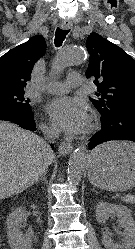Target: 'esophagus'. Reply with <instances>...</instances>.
I'll use <instances>...</instances> for the list:
<instances>
[{
    "instance_id": "34e87169",
    "label": "esophagus",
    "mask_w": 135,
    "mask_h": 249,
    "mask_svg": "<svg viewBox=\"0 0 135 249\" xmlns=\"http://www.w3.org/2000/svg\"><path fill=\"white\" fill-rule=\"evenodd\" d=\"M61 28L62 29H70L72 28V22L70 20H64L61 22ZM73 150V145L70 142H61L59 145V152L62 155H67Z\"/></svg>"
}]
</instances>
